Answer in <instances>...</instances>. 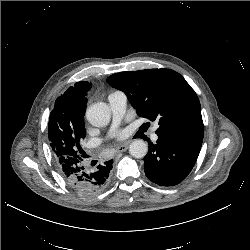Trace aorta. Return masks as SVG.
I'll use <instances>...</instances> for the list:
<instances>
[{
    "instance_id": "obj_1",
    "label": "aorta",
    "mask_w": 250,
    "mask_h": 250,
    "mask_svg": "<svg viewBox=\"0 0 250 250\" xmlns=\"http://www.w3.org/2000/svg\"><path fill=\"white\" fill-rule=\"evenodd\" d=\"M111 117L110 108L106 103L92 104L86 111L88 122L95 127L105 126ZM148 152V145L143 140H135L130 144L129 153L134 158H143Z\"/></svg>"
}]
</instances>
